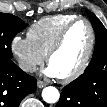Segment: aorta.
<instances>
[{
  "label": "aorta",
  "mask_w": 107,
  "mask_h": 107,
  "mask_svg": "<svg viewBox=\"0 0 107 107\" xmlns=\"http://www.w3.org/2000/svg\"><path fill=\"white\" fill-rule=\"evenodd\" d=\"M60 94L57 88L49 86L43 89L42 98L46 103L53 104L59 100Z\"/></svg>",
  "instance_id": "1"
}]
</instances>
